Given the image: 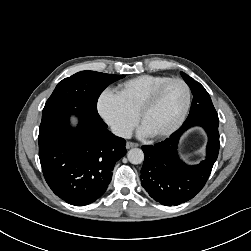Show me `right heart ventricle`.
Returning a JSON list of instances; mask_svg holds the SVG:
<instances>
[{"label":"right heart ventricle","mask_w":251,"mask_h":251,"mask_svg":"<svg viewBox=\"0 0 251 251\" xmlns=\"http://www.w3.org/2000/svg\"><path fill=\"white\" fill-rule=\"evenodd\" d=\"M170 77L164 75H141L119 84L115 92L125 106L137 115L138 109L150 93Z\"/></svg>","instance_id":"1"}]
</instances>
